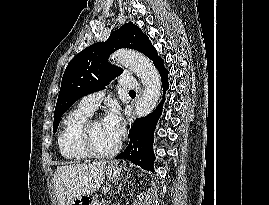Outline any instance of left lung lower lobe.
Here are the masks:
<instances>
[{
	"label": "left lung lower lobe",
	"instance_id": "0a47b994",
	"mask_svg": "<svg viewBox=\"0 0 269 205\" xmlns=\"http://www.w3.org/2000/svg\"><path fill=\"white\" fill-rule=\"evenodd\" d=\"M154 65L161 75L163 90L166 91L169 87L167 81L168 71L164 68L163 60L159 58ZM162 104L163 101L156 110L148 116L135 120L129 132L130 142L124 152L120 153L116 159H126L145 170L154 171L153 161L155 160V156L152 148L153 133L162 113Z\"/></svg>",
	"mask_w": 269,
	"mask_h": 205
}]
</instances>
